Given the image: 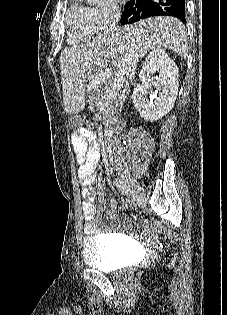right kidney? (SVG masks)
I'll return each instance as SVG.
<instances>
[{"instance_id": "right-kidney-1", "label": "right kidney", "mask_w": 227, "mask_h": 315, "mask_svg": "<svg viewBox=\"0 0 227 315\" xmlns=\"http://www.w3.org/2000/svg\"><path fill=\"white\" fill-rule=\"evenodd\" d=\"M140 79L142 84L132 95L134 106L144 119L157 121L174 106L178 93V68L165 50L156 48L143 62ZM153 85L158 89L155 92L151 88Z\"/></svg>"}]
</instances>
